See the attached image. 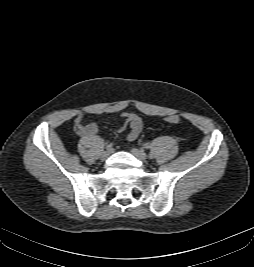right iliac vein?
<instances>
[{
    "mask_svg": "<svg viewBox=\"0 0 254 267\" xmlns=\"http://www.w3.org/2000/svg\"><path fill=\"white\" fill-rule=\"evenodd\" d=\"M111 152H112V149L110 150L107 149L103 151L101 154V160H106L110 156Z\"/></svg>",
    "mask_w": 254,
    "mask_h": 267,
    "instance_id": "obj_1",
    "label": "right iliac vein"
}]
</instances>
